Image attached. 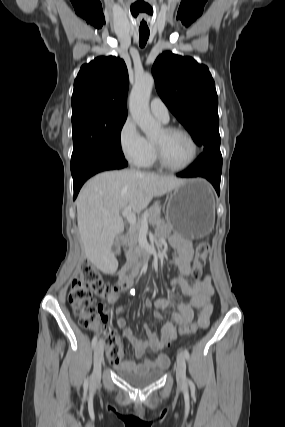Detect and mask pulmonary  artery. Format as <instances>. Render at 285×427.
Wrapping results in <instances>:
<instances>
[{
  "mask_svg": "<svg viewBox=\"0 0 285 427\" xmlns=\"http://www.w3.org/2000/svg\"><path fill=\"white\" fill-rule=\"evenodd\" d=\"M151 113L163 123L169 121V111L165 103L158 97L153 98L150 102Z\"/></svg>",
  "mask_w": 285,
  "mask_h": 427,
  "instance_id": "obj_1",
  "label": "pulmonary artery"
}]
</instances>
